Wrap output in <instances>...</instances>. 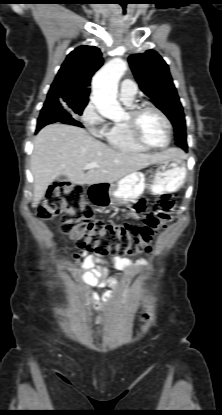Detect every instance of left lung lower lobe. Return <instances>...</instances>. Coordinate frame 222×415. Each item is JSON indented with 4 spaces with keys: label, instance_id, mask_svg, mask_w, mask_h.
<instances>
[{
    "label": "left lung lower lobe",
    "instance_id": "0a47b994",
    "mask_svg": "<svg viewBox=\"0 0 222 415\" xmlns=\"http://www.w3.org/2000/svg\"><path fill=\"white\" fill-rule=\"evenodd\" d=\"M184 150L187 151V147H185Z\"/></svg>",
    "mask_w": 222,
    "mask_h": 415
}]
</instances>
